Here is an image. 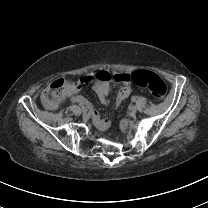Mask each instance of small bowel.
<instances>
[{
    "instance_id": "obj_1",
    "label": "small bowel",
    "mask_w": 208,
    "mask_h": 208,
    "mask_svg": "<svg viewBox=\"0 0 208 208\" xmlns=\"http://www.w3.org/2000/svg\"><path fill=\"white\" fill-rule=\"evenodd\" d=\"M101 70L107 71L105 69H99L98 71H101ZM90 75L91 74L83 77L81 79V82L82 83H89L87 79ZM112 77L115 82L123 84V86L121 87V89L117 93L115 101H114L115 106H119L130 94V88L127 86L128 77L124 73H117V74H114ZM70 88L74 92H76L78 89V86L72 85V86H70ZM111 88H112V85H110L107 81H98L93 85L94 91L98 94L101 102L105 105L108 104V96L110 94ZM71 100L79 105L85 104V100L82 97L72 96ZM43 103H44V106L47 110L53 111V110H55L59 101L55 105V103L49 98L47 100H44ZM93 116H94L93 119L96 122V124L99 126V128H101V129L108 128L109 123L102 116V111L100 109H95L93 111Z\"/></svg>"
}]
</instances>
